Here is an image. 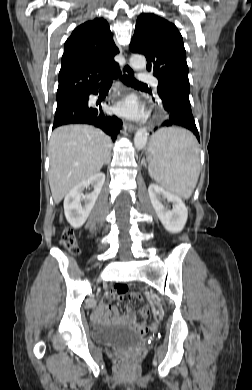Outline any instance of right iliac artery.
I'll use <instances>...</instances> for the list:
<instances>
[{
    "mask_svg": "<svg viewBox=\"0 0 252 390\" xmlns=\"http://www.w3.org/2000/svg\"><path fill=\"white\" fill-rule=\"evenodd\" d=\"M94 303H95V304H93L92 310H93V311H96V310H97L96 304L99 303V300H98V299H95V300H94Z\"/></svg>",
    "mask_w": 252,
    "mask_h": 390,
    "instance_id": "1",
    "label": "right iliac artery"
}]
</instances>
